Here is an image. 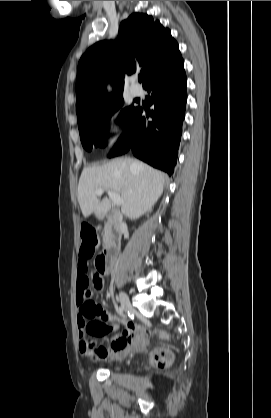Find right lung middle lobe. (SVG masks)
<instances>
[{"label": "right lung middle lobe", "mask_w": 271, "mask_h": 418, "mask_svg": "<svg viewBox=\"0 0 271 418\" xmlns=\"http://www.w3.org/2000/svg\"><path fill=\"white\" fill-rule=\"evenodd\" d=\"M122 105L123 98L120 95L78 116L80 139L87 151H91L93 146L104 147L106 145V126L111 115ZM138 108L134 106L124 107L120 113L119 122L125 126Z\"/></svg>", "instance_id": "1"}]
</instances>
